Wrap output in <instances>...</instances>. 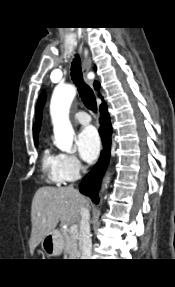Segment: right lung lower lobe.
<instances>
[{"mask_svg": "<svg viewBox=\"0 0 175 287\" xmlns=\"http://www.w3.org/2000/svg\"><path fill=\"white\" fill-rule=\"evenodd\" d=\"M100 128L99 133L102 138L104 150L101 153L99 161L93 169L83 178L79 185L80 192L89 196L91 200L96 203L98 200V191L101 185L102 177L105 173L106 167L109 162L110 144H111V123L107 111V105L103 103L100 105Z\"/></svg>", "mask_w": 175, "mask_h": 287, "instance_id": "right-lung-lower-lobe-1", "label": "right lung lower lobe"}]
</instances>
